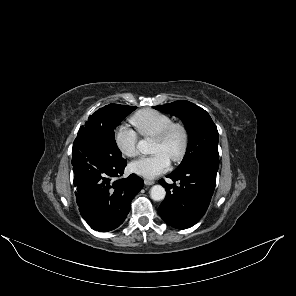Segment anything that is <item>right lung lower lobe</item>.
Masks as SVG:
<instances>
[{"label": "right lung lower lobe", "instance_id": "98d812e1", "mask_svg": "<svg viewBox=\"0 0 296 296\" xmlns=\"http://www.w3.org/2000/svg\"><path fill=\"white\" fill-rule=\"evenodd\" d=\"M76 201L83 219L94 230L119 227L130 211L132 199L142 189V178L124 173L127 161L92 138L76 137L72 148Z\"/></svg>", "mask_w": 296, "mask_h": 296}]
</instances>
